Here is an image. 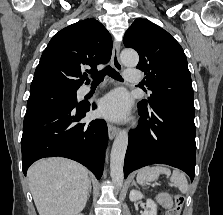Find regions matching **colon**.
<instances>
[{
  "mask_svg": "<svg viewBox=\"0 0 223 215\" xmlns=\"http://www.w3.org/2000/svg\"><path fill=\"white\" fill-rule=\"evenodd\" d=\"M184 202H185L184 196L177 195L175 198L174 206L167 211L166 215H179L182 210Z\"/></svg>",
  "mask_w": 223,
  "mask_h": 215,
  "instance_id": "obj_1",
  "label": "colon"
}]
</instances>
